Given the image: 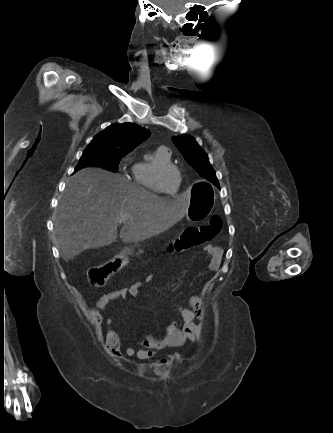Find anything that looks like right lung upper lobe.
I'll use <instances>...</instances> for the list:
<instances>
[{
  "label": "right lung upper lobe",
  "instance_id": "1",
  "mask_svg": "<svg viewBox=\"0 0 333 433\" xmlns=\"http://www.w3.org/2000/svg\"><path fill=\"white\" fill-rule=\"evenodd\" d=\"M149 136V130L133 123L111 124L96 135L88 146L113 148L129 153Z\"/></svg>",
  "mask_w": 333,
  "mask_h": 433
}]
</instances>
